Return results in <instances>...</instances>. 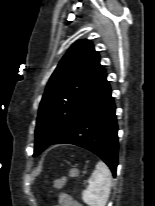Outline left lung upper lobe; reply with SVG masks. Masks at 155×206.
<instances>
[{
  "label": "left lung upper lobe",
  "mask_w": 155,
  "mask_h": 206,
  "mask_svg": "<svg viewBox=\"0 0 155 206\" xmlns=\"http://www.w3.org/2000/svg\"><path fill=\"white\" fill-rule=\"evenodd\" d=\"M100 57L89 40L74 43L50 77L35 130L34 156L67 134L109 87Z\"/></svg>",
  "instance_id": "1"
}]
</instances>
